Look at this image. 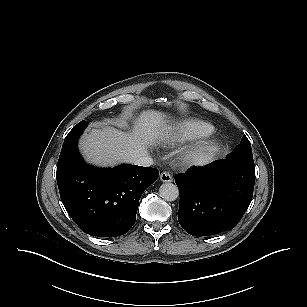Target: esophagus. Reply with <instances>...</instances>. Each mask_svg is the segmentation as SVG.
I'll return each mask as SVG.
<instances>
[{"label":"esophagus","mask_w":307,"mask_h":307,"mask_svg":"<svg viewBox=\"0 0 307 307\" xmlns=\"http://www.w3.org/2000/svg\"><path fill=\"white\" fill-rule=\"evenodd\" d=\"M160 180L165 183H169L173 181V177L168 171H164L160 174Z\"/></svg>","instance_id":"1"}]
</instances>
